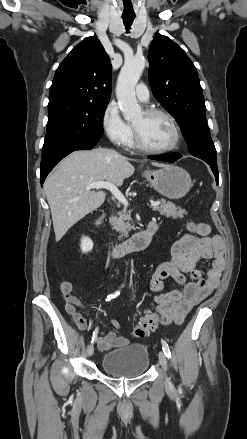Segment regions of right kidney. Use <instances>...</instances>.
Masks as SVG:
<instances>
[{"label":"right kidney","mask_w":247,"mask_h":439,"mask_svg":"<svg viewBox=\"0 0 247 439\" xmlns=\"http://www.w3.org/2000/svg\"><path fill=\"white\" fill-rule=\"evenodd\" d=\"M93 249V242L89 237L83 236L81 239V250L83 253H87Z\"/></svg>","instance_id":"obj_1"}]
</instances>
